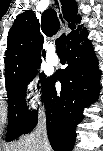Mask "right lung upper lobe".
I'll use <instances>...</instances> for the list:
<instances>
[{"label": "right lung upper lobe", "instance_id": "1", "mask_svg": "<svg viewBox=\"0 0 103 151\" xmlns=\"http://www.w3.org/2000/svg\"><path fill=\"white\" fill-rule=\"evenodd\" d=\"M64 19L72 31L67 39L72 41L83 29H75L81 18L77 14V4L74 0H60ZM60 23L56 12L48 9L42 14L41 22L32 10H27L17 16L8 33L7 50L5 51V81L8 88L23 72L41 63L43 36L55 35ZM42 56H45L44 50Z\"/></svg>", "mask_w": 103, "mask_h": 151}]
</instances>
